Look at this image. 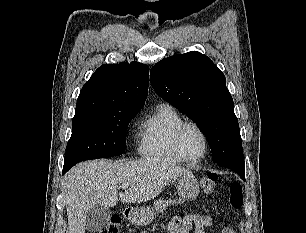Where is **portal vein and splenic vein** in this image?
<instances>
[{
    "mask_svg": "<svg viewBox=\"0 0 306 233\" xmlns=\"http://www.w3.org/2000/svg\"><path fill=\"white\" fill-rule=\"evenodd\" d=\"M128 184H122L121 186H120V188H122V189H126V188H128Z\"/></svg>",
    "mask_w": 306,
    "mask_h": 233,
    "instance_id": "18ae733b",
    "label": "portal vein and splenic vein"
}]
</instances>
